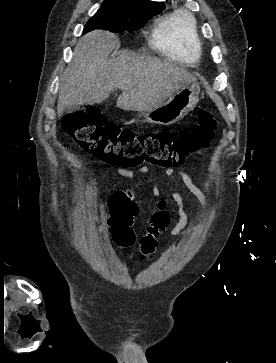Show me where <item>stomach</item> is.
I'll return each instance as SVG.
<instances>
[{
    "label": "stomach",
    "instance_id": "1",
    "mask_svg": "<svg viewBox=\"0 0 276 363\" xmlns=\"http://www.w3.org/2000/svg\"><path fill=\"white\" fill-rule=\"evenodd\" d=\"M200 87L194 82L185 84L167 101L145 111L139 117L144 121L158 124L171 125L192 111L199 101Z\"/></svg>",
    "mask_w": 276,
    "mask_h": 363
}]
</instances>
